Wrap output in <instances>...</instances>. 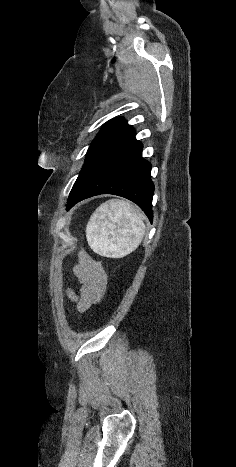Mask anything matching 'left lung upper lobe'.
<instances>
[{
    "label": "left lung upper lobe",
    "mask_w": 236,
    "mask_h": 467,
    "mask_svg": "<svg viewBox=\"0 0 236 467\" xmlns=\"http://www.w3.org/2000/svg\"><path fill=\"white\" fill-rule=\"evenodd\" d=\"M130 128L131 126L126 124L125 120L122 118L112 119L102 127V130L91 143L87 151L85 163L73 185L69 197L74 195L86 181L107 149Z\"/></svg>",
    "instance_id": "5c2ea615"
}]
</instances>
